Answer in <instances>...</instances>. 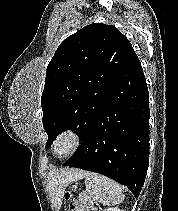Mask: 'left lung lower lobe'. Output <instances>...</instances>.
<instances>
[{"mask_svg":"<svg viewBox=\"0 0 178 211\" xmlns=\"http://www.w3.org/2000/svg\"><path fill=\"white\" fill-rule=\"evenodd\" d=\"M149 95L135 54L111 87L80 148L63 165L103 174L137 198L149 163Z\"/></svg>","mask_w":178,"mask_h":211,"instance_id":"left-lung-lower-lobe-1","label":"left lung lower lobe"}]
</instances>
